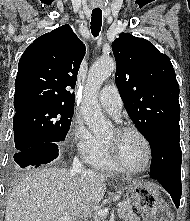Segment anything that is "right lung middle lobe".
I'll use <instances>...</instances> for the list:
<instances>
[{
  "instance_id": "right-lung-middle-lobe-1",
  "label": "right lung middle lobe",
  "mask_w": 190,
  "mask_h": 221,
  "mask_svg": "<svg viewBox=\"0 0 190 221\" xmlns=\"http://www.w3.org/2000/svg\"><path fill=\"white\" fill-rule=\"evenodd\" d=\"M73 107L38 105L14 115L15 147L27 150L44 142L63 141L70 129Z\"/></svg>"
}]
</instances>
